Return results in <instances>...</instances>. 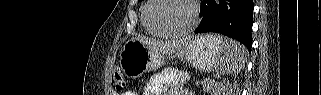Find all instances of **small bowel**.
<instances>
[{
  "mask_svg": "<svg viewBox=\"0 0 321 95\" xmlns=\"http://www.w3.org/2000/svg\"><path fill=\"white\" fill-rule=\"evenodd\" d=\"M153 86H154V83H149L147 85L146 90H145V94L146 95H160L161 94V93H158V92H154L152 90ZM124 95H136V94L134 92H126V93H124Z\"/></svg>",
  "mask_w": 321,
  "mask_h": 95,
  "instance_id": "1",
  "label": "small bowel"
}]
</instances>
